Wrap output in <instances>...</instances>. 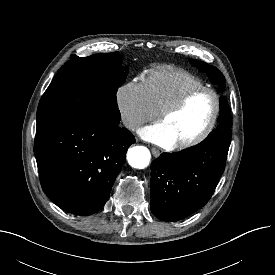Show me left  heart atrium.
<instances>
[{"instance_id":"obj_1","label":"left heart atrium","mask_w":275,"mask_h":275,"mask_svg":"<svg viewBox=\"0 0 275 275\" xmlns=\"http://www.w3.org/2000/svg\"><path fill=\"white\" fill-rule=\"evenodd\" d=\"M140 135L146 141L162 147H172L176 141L162 122H157L140 130Z\"/></svg>"}]
</instances>
